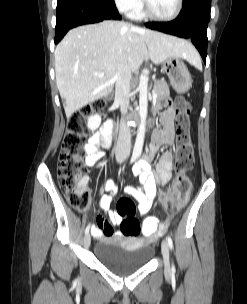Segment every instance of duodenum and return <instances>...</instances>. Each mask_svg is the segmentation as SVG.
<instances>
[{"instance_id":"duodenum-1","label":"duodenum","mask_w":247,"mask_h":304,"mask_svg":"<svg viewBox=\"0 0 247 304\" xmlns=\"http://www.w3.org/2000/svg\"><path fill=\"white\" fill-rule=\"evenodd\" d=\"M113 119L114 120H117L118 119V116L117 115H114L113 116ZM116 125V124H115ZM112 138H118V135H117V131H112ZM111 141V140H110Z\"/></svg>"}]
</instances>
